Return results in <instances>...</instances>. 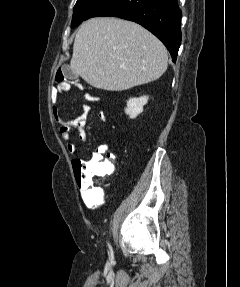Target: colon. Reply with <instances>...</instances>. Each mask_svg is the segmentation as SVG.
Masks as SVG:
<instances>
[{
  "instance_id": "1",
  "label": "colon",
  "mask_w": 240,
  "mask_h": 287,
  "mask_svg": "<svg viewBox=\"0 0 240 287\" xmlns=\"http://www.w3.org/2000/svg\"><path fill=\"white\" fill-rule=\"evenodd\" d=\"M66 87H70L62 69H58L55 75V85L51 89L50 100L53 110L59 106L60 96L65 92ZM114 166L113 158L96 161H74L73 169L78 180L79 188L84 195L93 190V185L97 179L112 171Z\"/></svg>"
}]
</instances>
